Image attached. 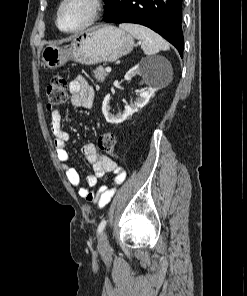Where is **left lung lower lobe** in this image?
<instances>
[{
  "label": "left lung lower lobe",
  "instance_id": "1",
  "mask_svg": "<svg viewBox=\"0 0 247 296\" xmlns=\"http://www.w3.org/2000/svg\"><path fill=\"white\" fill-rule=\"evenodd\" d=\"M182 1L112 0L103 20L147 26L173 44L183 57Z\"/></svg>",
  "mask_w": 247,
  "mask_h": 296
}]
</instances>
